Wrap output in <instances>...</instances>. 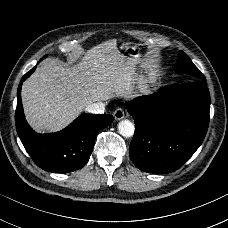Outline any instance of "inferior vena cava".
I'll return each mask as SVG.
<instances>
[{"mask_svg":"<svg viewBox=\"0 0 228 228\" xmlns=\"http://www.w3.org/2000/svg\"><path fill=\"white\" fill-rule=\"evenodd\" d=\"M85 111L93 114H103L105 111V104L102 102L93 103L85 108Z\"/></svg>","mask_w":228,"mask_h":228,"instance_id":"obj_1","label":"inferior vena cava"}]
</instances>
